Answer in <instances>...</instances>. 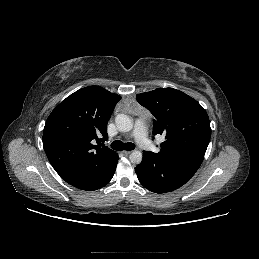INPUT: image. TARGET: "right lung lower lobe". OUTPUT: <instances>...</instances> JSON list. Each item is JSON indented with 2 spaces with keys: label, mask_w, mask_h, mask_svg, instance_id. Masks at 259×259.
Segmentation results:
<instances>
[{
  "label": "right lung lower lobe",
  "mask_w": 259,
  "mask_h": 259,
  "mask_svg": "<svg viewBox=\"0 0 259 259\" xmlns=\"http://www.w3.org/2000/svg\"><path fill=\"white\" fill-rule=\"evenodd\" d=\"M118 155L117 158L112 162L111 165L104 168L102 171L94 173L86 178H83L77 182L71 183L70 185L87 191H93L102 188L112 179L114 172L116 170V166L118 163Z\"/></svg>",
  "instance_id": "1"
}]
</instances>
